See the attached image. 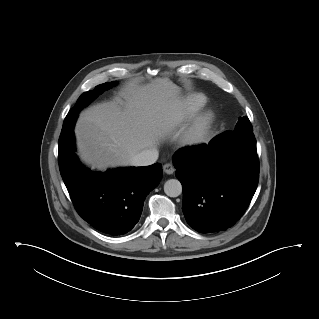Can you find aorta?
<instances>
[{
    "label": "aorta",
    "mask_w": 319,
    "mask_h": 319,
    "mask_svg": "<svg viewBox=\"0 0 319 319\" xmlns=\"http://www.w3.org/2000/svg\"><path fill=\"white\" fill-rule=\"evenodd\" d=\"M164 192L169 197H177L182 193V185L177 179H169L164 184Z\"/></svg>",
    "instance_id": "762f6f07"
}]
</instances>
